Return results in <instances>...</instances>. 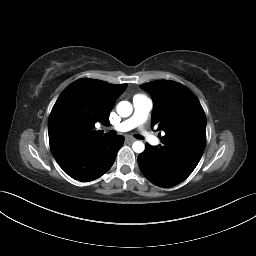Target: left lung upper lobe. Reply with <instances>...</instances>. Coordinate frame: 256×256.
<instances>
[{"label":"left lung upper lobe","instance_id":"1","mask_svg":"<svg viewBox=\"0 0 256 256\" xmlns=\"http://www.w3.org/2000/svg\"><path fill=\"white\" fill-rule=\"evenodd\" d=\"M153 98L152 124L166 135L158 153L176 163L194 169L206 145V117L203 108L184 85L158 80L140 85Z\"/></svg>","mask_w":256,"mask_h":256}]
</instances>
